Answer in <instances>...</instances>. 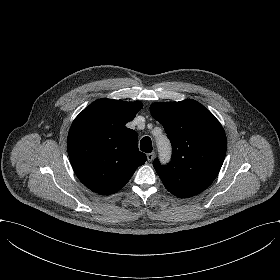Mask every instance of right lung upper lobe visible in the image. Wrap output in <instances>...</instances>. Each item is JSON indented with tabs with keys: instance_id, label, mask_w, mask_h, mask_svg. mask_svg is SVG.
I'll return each mask as SVG.
<instances>
[{
	"instance_id": "obj_1",
	"label": "right lung upper lobe",
	"mask_w": 280,
	"mask_h": 280,
	"mask_svg": "<svg viewBox=\"0 0 280 280\" xmlns=\"http://www.w3.org/2000/svg\"><path fill=\"white\" fill-rule=\"evenodd\" d=\"M141 108L139 101L99 99L75 118L68 155L77 177L90 190L116 193L147 160L138 150L137 132L125 126Z\"/></svg>"
}]
</instances>
